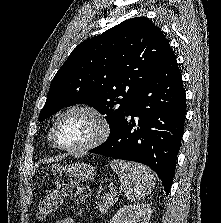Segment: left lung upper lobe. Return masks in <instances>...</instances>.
I'll return each mask as SVG.
<instances>
[{
  "label": "left lung upper lobe",
  "mask_w": 221,
  "mask_h": 223,
  "mask_svg": "<svg viewBox=\"0 0 221 223\" xmlns=\"http://www.w3.org/2000/svg\"><path fill=\"white\" fill-rule=\"evenodd\" d=\"M170 46L146 17L81 42L53 78L39 121L75 104L106 115L112 135L135 96L161 69Z\"/></svg>",
  "instance_id": "1"
}]
</instances>
